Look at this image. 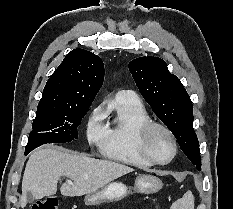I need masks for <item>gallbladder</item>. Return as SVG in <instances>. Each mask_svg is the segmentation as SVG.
<instances>
[{"mask_svg": "<svg viewBox=\"0 0 233 209\" xmlns=\"http://www.w3.org/2000/svg\"><path fill=\"white\" fill-rule=\"evenodd\" d=\"M27 201L28 202H33L34 201V198L30 193H27Z\"/></svg>", "mask_w": 233, "mask_h": 209, "instance_id": "bac80fb5", "label": "gallbladder"}]
</instances>
